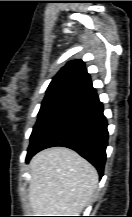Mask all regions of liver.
<instances>
[{
  "mask_svg": "<svg viewBox=\"0 0 132 217\" xmlns=\"http://www.w3.org/2000/svg\"><path fill=\"white\" fill-rule=\"evenodd\" d=\"M29 173V199L36 216H79L98 185L96 169L65 147L37 153Z\"/></svg>",
  "mask_w": 132,
  "mask_h": 217,
  "instance_id": "1",
  "label": "liver"
}]
</instances>
